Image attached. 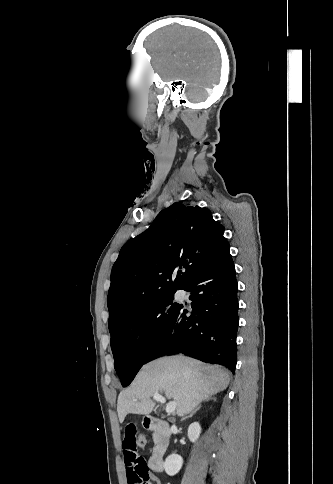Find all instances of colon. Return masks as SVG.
<instances>
[{"label":"colon","instance_id":"5ec220e1","mask_svg":"<svg viewBox=\"0 0 333 484\" xmlns=\"http://www.w3.org/2000/svg\"><path fill=\"white\" fill-rule=\"evenodd\" d=\"M147 439L144 434H139L136 438V443L138 447H144L146 445Z\"/></svg>","mask_w":333,"mask_h":484}]
</instances>
